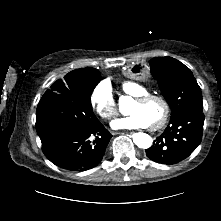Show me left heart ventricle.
Returning a JSON list of instances; mask_svg holds the SVG:
<instances>
[{"instance_id": "left-heart-ventricle-1", "label": "left heart ventricle", "mask_w": 221, "mask_h": 221, "mask_svg": "<svg viewBox=\"0 0 221 221\" xmlns=\"http://www.w3.org/2000/svg\"><path fill=\"white\" fill-rule=\"evenodd\" d=\"M129 112L142 115L147 120L149 126H152L162 117L164 107L158 100H151L145 104L133 102Z\"/></svg>"}]
</instances>
